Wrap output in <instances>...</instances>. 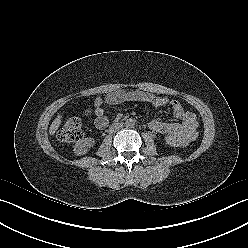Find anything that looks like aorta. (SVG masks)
Wrapping results in <instances>:
<instances>
[{
    "label": "aorta",
    "instance_id": "obj_1",
    "mask_svg": "<svg viewBox=\"0 0 248 248\" xmlns=\"http://www.w3.org/2000/svg\"><path fill=\"white\" fill-rule=\"evenodd\" d=\"M125 127L126 128H134V126H135V120L134 119H132V118H129V119H127L126 121H125Z\"/></svg>",
    "mask_w": 248,
    "mask_h": 248
}]
</instances>
